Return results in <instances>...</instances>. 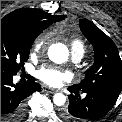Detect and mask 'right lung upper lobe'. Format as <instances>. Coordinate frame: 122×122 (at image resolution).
<instances>
[{"instance_id":"1","label":"right lung upper lobe","mask_w":122,"mask_h":122,"mask_svg":"<svg viewBox=\"0 0 122 122\" xmlns=\"http://www.w3.org/2000/svg\"><path fill=\"white\" fill-rule=\"evenodd\" d=\"M65 18V15L54 16L39 9L21 8L6 15L1 19V23H13L29 30L43 31L49 25Z\"/></svg>"}]
</instances>
